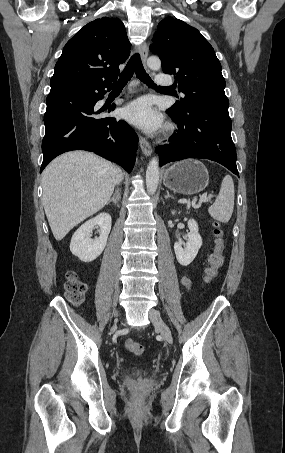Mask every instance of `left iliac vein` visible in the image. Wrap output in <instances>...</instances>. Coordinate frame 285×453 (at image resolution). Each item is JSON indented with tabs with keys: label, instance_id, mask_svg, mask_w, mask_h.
<instances>
[{
	"label": "left iliac vein",
	"instance_id": "1",
	"mask_svg": "<svg viewBox=\"0 0 285 453\" xmlns=\"http://www.w3.org/2000/svg\"><path fill=\"white\" fill-rule=\"evenodd\" d=\"M149 318L152 321L153 325L159 330L164 339L166 341H170L172 339L171 331L167 324L163 321L159 311H157L156 309H151L149 311Z\"/></svg>",
	"mask_w": 285,
	"mask_h": 453
}]
</instances>
